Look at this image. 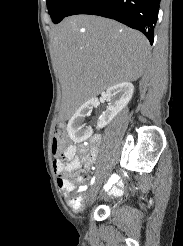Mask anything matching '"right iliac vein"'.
<instances>
[{
    "label": "right iliac vein",
    "instance_id": "63e3f726",
    "mask_svg": "<svg viewBox=\"0 0 183 246\" xmlns=\"http://www.w3.org/2000/svg\"><path fill=\"white\" fill-rule=\"evenodd\" d=\"M97 192H98V185L95 184V185L91 188V190H90L89 198H90L91 200L94 199V198L96 197V195H97Z\"/></svg>",
    "mask_w": 183,
    "mask_h": 246
}]
</instances>
